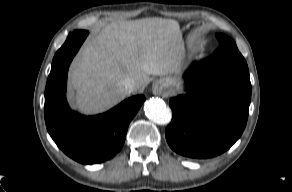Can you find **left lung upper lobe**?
Returning a JSON list of instances; mask_svg holds the SVG:
<instances>
[{"mask_svg":"<svg viewBox=\"0 0 292 192\" xmlns=\"http://www.w3.org/2000/svg\"><path fill=\"white\" fill-rule=\"evenodd\" d=\"M217 39L220 42L219 48H233L237 49L235 42L228 36L224 34H216Z\"/></svg>","mask_w":292,"mask_h":192,"instance_id":"1","label":"left lung upper lobe"}]
</instances>
